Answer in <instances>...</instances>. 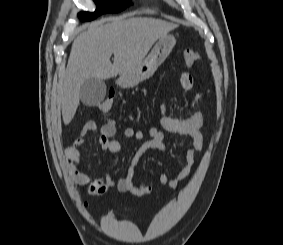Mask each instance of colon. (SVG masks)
Instances as JSON below:
<instances>
[{
	"label": "colon",
	"instance_id": "obj_1",
	"mask_svg": "<svg viewBox=\"0 0 283 245\" xmlns=\"http://www.w3.org/2000/svg\"><path fill=\"white\" fill-rule=\"evenodd\" d=\"M183 58H184V63H185L186 66H192L197 61V59L199 58V55H198L196 50L187 49L183 53ZM114 96H115V93L111 90L108 93L105 100H103L102 102H100L97 105V108L105 114L109 113L111 111L112 107H113ZM134 187L141 194H147V193H150V191H151L150 188L148 186H145V185H135L134 184Z\"/></svg>",
	"mask_w": 283,
	"mask_h": 245
}]
</instances>
